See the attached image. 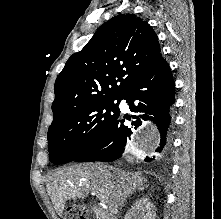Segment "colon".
Returning a JSON list of instances; mask_svg holds the SVG:
<instances>
[{"label":"colon","instance_id":"obj_1","mask_svg":"<svg viewBox=\"0 0 221 219\" xmlns=\"http://www.w3.org/2000/svg\"><path fill=\"white\" fill-rule=\"evenodd\" d=\"M66 219H88V215L83 208L71 205L66 210Z\"/></svg>","mask_w":221,"mask_h":219}]
</instances>
